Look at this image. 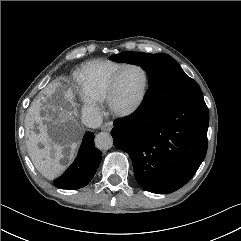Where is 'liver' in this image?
Listing matches in <instances>:
<instances>
[{"mask_svg":"<svg viewBox=\"0 0 241 241\" xmlns=\"http://www.w3.org/2000/svg\"><path fill=\"white\" fill-rule=\"evenodd\" d=\"M58 86V83L50 85L47 93H54ZM73 97L70 89L63 93L64 99L59 105L40 97L33 101L28 111V153L36 169L47 179H54L65 169L66 163H61L65 158L63 150L68 149L67 157L71 160L82 136V129L75 119L76 104ZM35 123L38 124V133L33 131ZM49 129L58 134L62 144H52Z\"/></svg>","mask_w":241,"mask_h":241,"instance_id":"6515ba94","label":"liver"}]
</instances>
